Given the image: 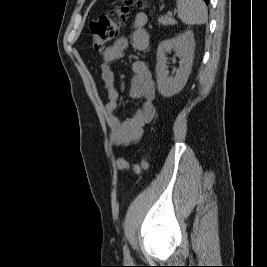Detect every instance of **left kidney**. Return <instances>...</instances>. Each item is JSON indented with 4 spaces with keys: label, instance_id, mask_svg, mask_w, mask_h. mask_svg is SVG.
Returning <instances> with one entry per match:
<instances>
[{
    "label": "left kidney",
    "instance_id": "left-kidney-1",
    "mask_svg": "<svg viewBox=\"0 0 267 267\" xmlns=\"http://www.w3.org/2000/svg\"><path fill=\"white\" fill-rule=\"evenodd\" d=\"M175 51L180 59V66L175 69V76H169L166 53ZM195 50V40L192 31H186L172 39L162 41L157 50V87L164 97L179 93L185 86L191 73Z\"/></svg>",
    "mask_w": 267,
    "mask_h": 267
}]
</instances>
